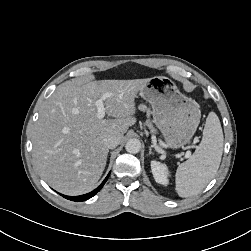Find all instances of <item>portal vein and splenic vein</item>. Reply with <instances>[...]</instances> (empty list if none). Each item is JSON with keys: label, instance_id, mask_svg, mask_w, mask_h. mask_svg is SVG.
<instances>
[{"label": "portal vein and splenic vein", "instance_id": "obj_1", "mask_svg": "<svg viewBox=\"0 0 251 251\" xmlns=\"http://www.w3.org/2000/svg\"><path fill=\"white\" fill-rule=\"evenodd\" d=\"M110 96H111V94L106 93V94H104L100 99H98V100H96V101L94 102V105L97 107V117H98L99 119H103L104 116H105V113H106L105 107H104V102H103V101H104L106 98L110 97ZM190 156H191V152H190V151H187L186 154H185V157H186V158H189Z\"/></svg>", "mask_w": 251, "mask_h": 251}]
</instances>
